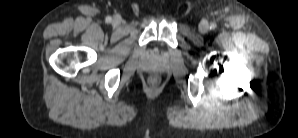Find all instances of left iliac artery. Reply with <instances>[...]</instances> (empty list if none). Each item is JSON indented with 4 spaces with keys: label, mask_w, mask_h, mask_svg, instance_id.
I'll list each match as a JSON object with an SVG mask.
<instances>
[{
    "label": "left iliac artery",
    "mask_w": 298,
    "mask_h": 138,
    "mask_svg": "<svg viewBox=\"0 0 298 138\" xmlns=\"http://www.w3.org/2000/svg\"><path fill=\"white\" fill-rule=\"evenodd\" d=\"M216 28V24L215 23H211L210 24V29L214 30Z\"/></svg>",
    "instance_id": "44dca946"
}]
</instances>
